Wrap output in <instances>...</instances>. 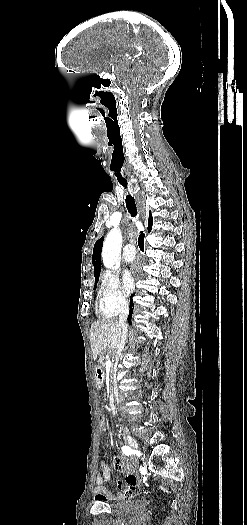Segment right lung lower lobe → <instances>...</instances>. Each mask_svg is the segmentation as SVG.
Masks as SVG:
<instances>
[{"instance_id":"98d812e1","label":"right lung lower lobe","mask_w":247,"mask_h":525,"mask_svg":"<svg viewBox=\"0 0 247 525\" xmlns=\"http://www.w3.org/2000/svg\"><path fill=\"white\" fill-rule=\"evenodd\" d=\"M132 313H133V307H132V297H131L130 298V312H129V316H128V321L129 322L131 321Z\"/></svg>"}]
</instances>
